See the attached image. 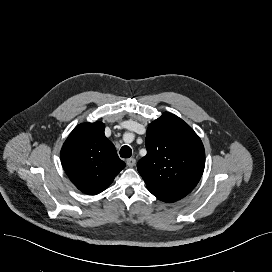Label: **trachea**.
<instances>
[{"instance_id": "3493384b", "label": "trachea", "mask_w": 272, "mask_h": 272, "mask_svg": "<svg viewBox=\"0 0 272 272\" xmlns=\"http://www.w3.org/2000/svg\"><path fill=\"white\" fill-rule=\"evenodd\" d=\"M132 155V150L129 146L125 145L120 149V156L122 158H130Z\"/></svg>"}]
</instances>
